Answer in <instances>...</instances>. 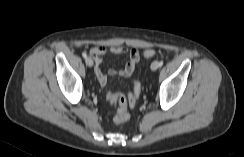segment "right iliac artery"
I'll return each mask as SVG.
<instances>
[{"mask_svg": "<svg viewBox=\"0 0 244 157\" xmlns=\"http://www.w3.org/2000/svg\"><path fill=\"white\" fill-rule=\"evenodd\" d=\"M83 58H87V54L85 52L82 53Z\"/></svg>", "mask_w": 244, "mask_h": 157, "instance_id": "82829eb1", "label": "right iliac artery"}]
</instances>
